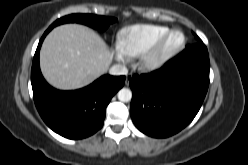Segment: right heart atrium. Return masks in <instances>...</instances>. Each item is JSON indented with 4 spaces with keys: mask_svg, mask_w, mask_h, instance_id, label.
Listing matches in <instances>:
<instances>
[{
    "mask_svg": "<svg viewBox=\"0 0 248 165\" xmlns=\"http://www.w3.org/2000/svg\"><path fill=\"white\" fill-rule=\"evenodd\" d=\"M117 59L120 60V61H123L124 60V55L121 52H118L117 53Z\"/></svg>",
    "mask_w": 248,
    "mask_h": 165,
    "instance_id": "d8ad5b80",
    "label": "right heart atrium"
}]
</instances>
